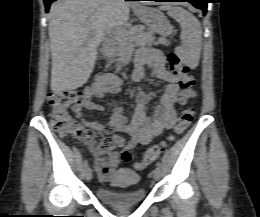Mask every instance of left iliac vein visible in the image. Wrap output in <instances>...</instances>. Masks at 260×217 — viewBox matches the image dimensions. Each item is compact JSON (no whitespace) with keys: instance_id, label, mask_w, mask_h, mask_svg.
Returning a JSON list of instances; mask_svg holds the SVG:
<instances>
[{"instance_id":"4c4485c4","label":"left iliac vein","mask_w":260,"mask_h":217,"mask_svg":"<svg viewBox=\"0 0 260 217\" xmlns=\"http://www.w3.org/2000/svg\"><path fill=\"white\" fill-rule=\"evenodd\" d=\"M153 178L156 180V181H158L160 178H161V170H160V168H155L154 170H153Z\"/></svg>"}]
</instances>
